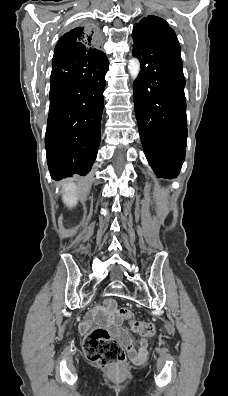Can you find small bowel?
Masks as SVG:
<instances>
[{
  "mask_svg": "<svg viewBox=\"0 0 228 396\" xmlns=\"http://www.w3.org/2000/svg\"><path fill=\"white\" fill-rule=\"evenodd\" d=\"M104 319L106 325L116 334L125 346L131 361L136 364L143 363L147 356V341L144 338L141 339L139 348L135 349L129 334L121 326V318L116 313L115 304L112 300L106 303Z\"/></svg>",
  "mask_w": 228,
  "mask_h": 396,
  "instance_id": "c3829d8e",
  "label": "small bowel"
}]
</instances>
